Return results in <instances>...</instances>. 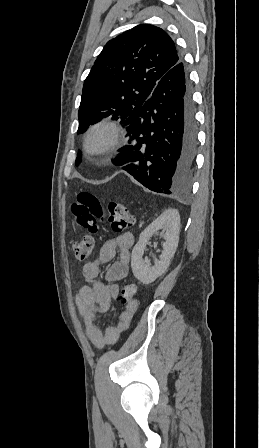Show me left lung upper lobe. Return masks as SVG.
<instances>
[{
  "mask_svg": "<svg viewBox=\"0 0 259 448\" xmlns=\"http://www.w3.org/2000/svg\"><path fill=\"white\" fill-rule=\"evenodd\" d=\"M180 60L174 41L156 26L138 25L108 41L84 81L78 133L109 115L126 125L131 111L146 103Z\"/></svg>",
  "mask_w": 259,
  "mask_h": 448,
  "instance_id": "left-lung-upper-lobe-1",
  "label": "left lung upper lobe"
}]
</instances>
